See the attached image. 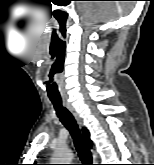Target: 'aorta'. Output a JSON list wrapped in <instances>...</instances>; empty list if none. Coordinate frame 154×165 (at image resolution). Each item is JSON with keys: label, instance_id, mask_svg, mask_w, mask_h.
I'll return each mask as SVG.
<instances>
[{"label": "aorta", "instance_id": "aorta-1", "mask_svg": "<svg viewBox=\"0 0 154 165\" xmlns=\"http://www.w3.org/2000/svg\"><path fill=\"white\" fill-rule=\"evenodd\" d=\"M73 153L69 148H58L52 158V164H71Z\"/></svg>", "mask_w": 154, "mask_h": 165}]
</instances>
